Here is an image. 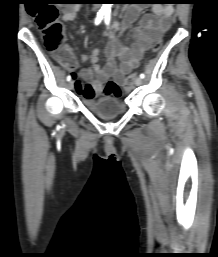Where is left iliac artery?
<instances>
[{
	"label": "left iliac artery",
	"instance_id": "1",
	"mask_svg": "<svg viewBox=\"0 0 218 257\" xmlns=\"http://www.w3.org/2000/svg\"><path fill=\"white\" fill-rule=\"evenodd\" d=\"M110 20H111V14L108 12V13L105 14V24L107 26L110 25ZM140 77L143 79L145 77V75L143 73H141Z\"/></svg>",
	"mask_w": 218,
	"mask_h": 257
}]
</instances>
